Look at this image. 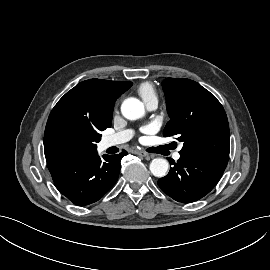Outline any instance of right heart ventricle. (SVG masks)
I'll return each instance as SVG.
<instances>
[{"label":"right heart ventricle","instance_id":"e07e8e85","mask_svg":"<svg viewBox=\"0 0 270 270\" xmlns=\"http://www.w3.org/2000/svg\"><path fill=\"white\" fill-rule=\"evenodd\" d=\"M137 91L145 103L153 98L158 99L154 86L149 82L141 83L138 86Z\"/></svg>","mask_w":270,"mask_h":270}]
</instances>
